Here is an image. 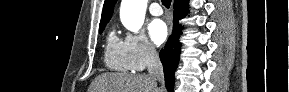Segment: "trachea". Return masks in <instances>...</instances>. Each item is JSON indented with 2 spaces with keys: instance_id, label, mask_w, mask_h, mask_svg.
<instances>
[{
  "instance_id": "1",
  "label": "trachea",
  "mask_w": 289,
  "mask_h": 92,
  "mask_svg": "<svg viewBox=\"0 0 289 92\" xmlns=\"http://www.w3.org/2000/svg\"><path fill=\"white\" fill-rule=\"evenodd\" d=\"M162 4L166 7L169 8L171 5V0H162Z\"/></svg>"
}]
</instances>
